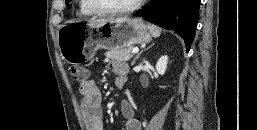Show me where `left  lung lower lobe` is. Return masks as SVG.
I'll use <instances>...</instances> for the list:
<instances>
[{
    "label": "left lung lower lobe",
    "instance_id": "1",
    "mask_svg": "<svg viewBox=\"0 0 257 130\" xmlns=\"http://www.w3.org/2000/svg\"><path fill=\"white\" fill-rule=\"evenodd\" d=\"M199 5L200 0H152L134 16L174 30L190 48L198 22Z\"/></svg>",
    "mask_w": 257,
    "mask_h": 130
}]
</instances>
